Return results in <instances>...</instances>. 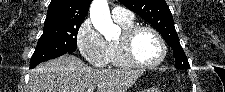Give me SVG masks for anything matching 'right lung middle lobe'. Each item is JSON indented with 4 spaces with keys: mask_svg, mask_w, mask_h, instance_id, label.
Returning <instances> with one entry per match:
<instances>
[{
    "mask_svg": "<svg viewBox=\"0 0 225 92\" xmlns=\"http://www.w3.org/2000/svg\"><path fill=\"white\" fill-rule=\"evenodd\" d=\"M83 21L44 25L30 64L48 61L77 49V34Z\"/></svg>",
    "mask_w": 225,
    "mask_h": 92,
    "instance_id": "1",
    "label": "right lung middle lobe"
}]
</instances>
